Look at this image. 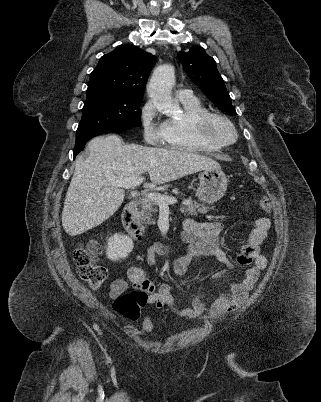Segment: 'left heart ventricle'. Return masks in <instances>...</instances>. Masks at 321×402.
Returning <instances> with one entry per match:
<instances>
[{"instance_id": "b2bd125f", "label": "left heart ventricle", "mask_w": 321, "mask_h": 402, "mask_svg": "<svg viewBox=\"0 0 321 402\" xmlns=\"http://www.w3.org/2000/svg\"><path fill=\"white\" fill-rule=\"evenodd\" d=\"M211 132L217 138L225 141H229L233 137L231 129L220 120L213 121L211 125Z\"/></svg>"}]
</instances>
